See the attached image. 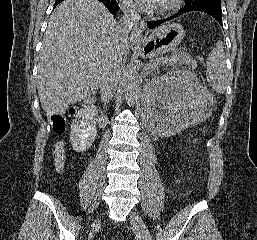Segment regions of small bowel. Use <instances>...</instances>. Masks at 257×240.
<instances>
[{
    "label": "small bowel",
    "instance_id": "c3829d8e",
    "mask_svg": "<svg viewBox=\"0 0 257 240\" xmlns=\"http://www.w3.org/2000/svg\"><path fill=\"white\" fill-rule=\"evenodd\" d=\"M65 153V144L63 141H59L55 145V155L58 160H62L64 158Z\"/></svg>",
    "mask_w": 257,
    "mask_h": 240
}]
</instances>
